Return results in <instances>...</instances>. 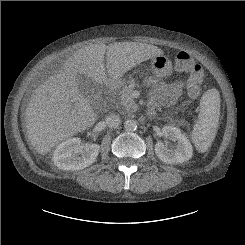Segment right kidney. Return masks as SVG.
Listing matches in <instances>:
<instances>
[{"label": "right kidney", "instance_id": "obj_1", "mask_svg": "<svg viewBox=\"0 0 245 245\" xmlns=\"http://www.w3.org/2000/svg\"><path fill=\"white\" fill-rule=\"evenodd\" d=\"M99 151L98 144H89L82 151L81 140L75 137L60 143L53 153L52 160L59 169L76 171L94 163Z\"/></svg>", "mask_w": 245, "mask_h": 245}]
</instances>
